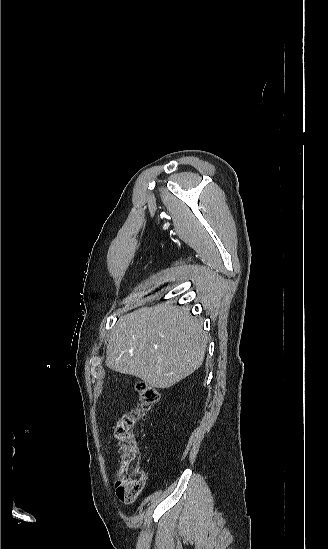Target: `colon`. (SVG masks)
<instances>
[{"mask_svg":"<svg viewBox=\"0 0 328 549\" xmlns=\"http://www.w3.org/2000/svg\"><path fill=\"white\" fill-rule=\"evenodd\" d=\"M135 388L140 397V406L120 418L115 432L122 448L116 494L122 502L126 503L137 499L143 491L147 479L137 459L133 430L144 414L157 404L160 397L158 390L147 383L138 382Z\"/></svg>","mask_w":328,"mask_h":549,"instance_id":"5ec220e1","label":"colon"}]
</instances>
